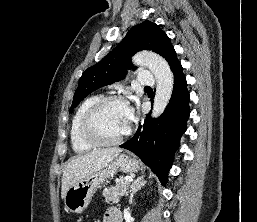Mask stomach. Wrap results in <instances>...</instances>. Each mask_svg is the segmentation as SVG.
I'll return each instance as SVG.
<instances>
[{"instance_id": "1", "label": "stomach", "mask_w": 257, "mask_h": 222, "mask_svg": "<svg viewBox=\"0 0 257 222\" xmlns=\"http://www.w3.org/2000/svg\"><path fill=\"white\" fill-rule=\"evenodd\" d=\"M139 163L128 155L120 154L102 169L77 181L66 192L64 204L67 211L71 213H82L92 200L95 191L108 178L121 171L124 173H135L139 170Z\"/></svg>"}]
</instances>
